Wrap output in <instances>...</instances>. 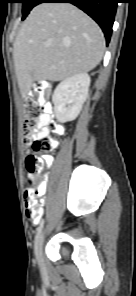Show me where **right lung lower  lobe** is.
Masks as SVG:
<instances>
[{
  "mask_svg": "<svg viewBox=\"0 0 136 296\" xmlns=\"http://www.w3.org/2000/svg\"><path fill=\"white\" fill-rule=\"evenodd\" d=\"M119 0H41L40 3H72L92 17L110 41L112 25Z\"/></svg>",
  "mask_w": 136,
  "mask_h": 296,
  "instance_id": "98d812e1",
  "label": "right lung lower lobe"
}]
</instances>
